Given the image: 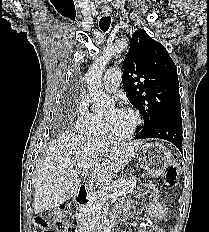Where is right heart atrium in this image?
I'll return each mask as SVG.
<instances>
[{
  "mask_svg": "<svg viewBox=\"0 0 209 232\" xmlns=\"http://www.w3.org/2000/svg\"><path fill=\"white\" fill-rule=\"evenodd\" d=\"M88 105L85 97H81L80 102L78 104L76 119L74 121V128L76 130H80L85 118L88 116Z\"/></svg>",
  "mask_w": 209,
  "mask_h": 232,
  "instance_id": "right-heart-atrium-1",
  "label": "right heart atrium"
}]
</instances>
